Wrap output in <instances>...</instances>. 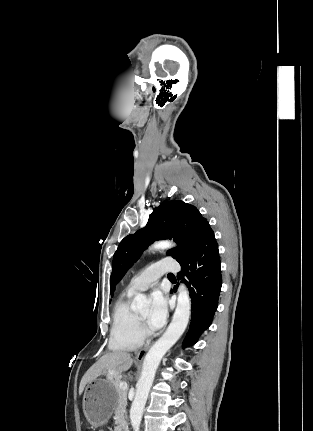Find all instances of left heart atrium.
Returning <instances> with one entry per match:
<instances>
[{
	"label": "left heart atrium",
	"instance_id": "1",
	"mask_svg": "<svg viewBox=\"0 0 313 431\" xmlns=\"http://www.w3.org/2000/svg\"><path fill=\"white\" fill-rule=\"evenodd\" d=\"M168 308L167 301L159 291L151 295V309L148 317V325L152 330L161 328L167 318Z\"/></svg>",
	"mask_w": 313,
	"mask_h": 431
}]
</instances>
